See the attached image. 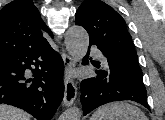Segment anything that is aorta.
<instances>
[{
    "label": "aorta",
    "mask_w": 165,
    "mask_h": 120,
    "mask_svg": "<svg viewBox=\"0 0 165 120\" xmlns=\"http://www.w3.org/2000/svg\"><path fill=\"white\" fill-rule=\"evenodd\" d=\"M65 44L68 53L76 60H81L86 55L89 46L87 31L81 26H71L66 32ZM80 117V109L72 107L67 109L59 120H80Z\"/></svg>",
    "instance_id": "obj_1"
}]
</instances>
